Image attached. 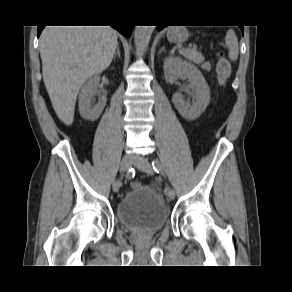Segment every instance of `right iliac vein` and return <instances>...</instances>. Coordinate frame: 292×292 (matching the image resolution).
Returning a JSON list of instances; mask_svg holds the SVG:
<instances>
[{
  "label": "right iliac vein",
  "mask_w": 292,
  "mask_h": 292,
  "mask_svg": "<svg viewBox=\"0 0 292 292\" xmlns=\"http://www.w3.org/2000/svg\"><path fill=\"white\" fill-rule=\"evenodd\" d=\"M132 161H133L132 156H130V155H124L123 158H122V160H121V165H120V169H121V171L125 172V171H127L128 169H130V167H131V165H132ZM120 186H121V184H120V185L118 184V180L115 181V182L113 183V186H112L113 191H114V192H118Z\"/></svg>",
  "instance_id": "right-iliac-vein-1"
}]
</instances>
